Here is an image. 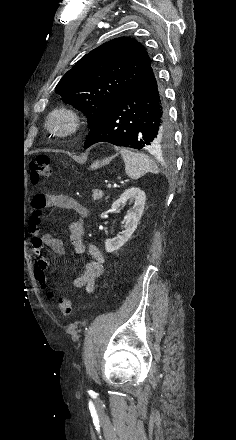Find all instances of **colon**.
<instances>
[{
    "label": "colon",
    "mask_w": 236,
    "mask_h": 440,
    "mask_svg": "<svg viewBox=\"0 0 236 440\" xmlns=\"http://www.w3.org/2000/svg\"><path fill=\"white\" fill-rule=\"evenodd\" d=\"M52 172L51 161L48 156L40 155L37 156L31 165V173L30 178L34 185H43L45 184ZM46 290V286L44 287ZM47 297L49 299L53 298V291L46 290ZM57 309L63 315L71 314V302L67 297H61L57 301Z\"/></svg>",
    "instance_id": "5ec220e1"
}]
</instances>
